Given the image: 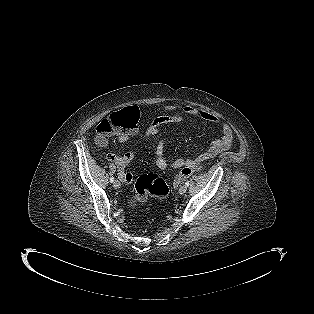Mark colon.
Wrapping results in <instances>:
<instances>
[{"label":"colon","mask_w":314,"mask_h":314,"mask_svg":"<svg viewBox=\"0 0 314 314\" xmlns=\"http://www.w3.org/2000/svg\"><path fill=\"white\" fill-rule=\"evenodd\" d=\"M139 111L135 106H128L112 113L103 120L97 129V138L106 140L111 134L130 133L138 127ZM200 168L199 164L185 166L174 178L175 185L192 175ZM169 193L166 182L155 173H144L135 183V193L129 199V205L134 207L139 202L146 201L149 197L165 199Z\"/></svg>","instance_id":"5ec220e1"}]
</instances>
